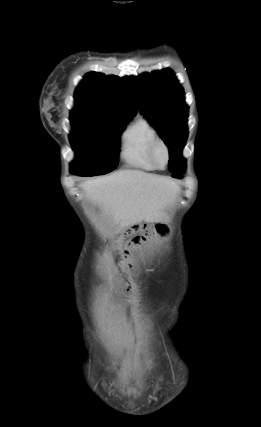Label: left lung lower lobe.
Here are the masks:
<instances>
[{
    "label": "left lung lower lobe",
    "instance_id": "obj_1",
    "mask_svg": "<svg viewBox=\"0 0 261 427\" xmlns=\"http://www.w3.org/2000/svg\"><path fill=\"white\" fill-rule=\"evenodd\" d=\"M173 177H178V178H180L181 176H180V175H177V174H174V175H173Z\"/></svg>",
    "mask_w": 261,
    "mask_h": 427
}]
</instances>
